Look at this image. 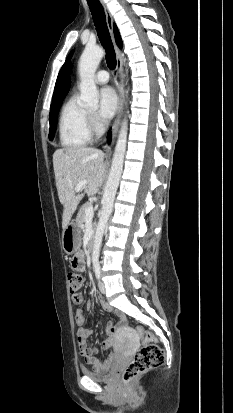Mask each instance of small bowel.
Here are the masks:
<instances>
[{"mask_svg": "<svg viewBox=\"0 0 233 413\" xmlns=\"http://www.w3.org/2000/svg\"><path fill=\"white\" fill-rule=\"evenodd\" d=\"M82 250L78 249L77 253H73L69 257V262L71 263L72 269L76 273H83L85 271V263L83 262V257L81 256ZM94 299L100 304L101 308L106 312H114L113 308L105 301V299L97 293H93ZM72 301L76 306H80L83 303V295L81 292H77L72 294ZM92 307V303H88V309ZM117 315L122 319V315L117 313ZM75 321L77 324V339L78 345L80 348V353L84 357L87 364L92 365L94 369L97 371H104L106 370L109 365L115 359V354L110 353L106 359L101 362L96 357L95 354L98 352L97 347H89L87 345V339L93 335V331L90 328L86 327V317L82 309L78 308L75 312ZM119 324L110 323L107 328L106 332L112 337H109L102 343V347L104 349H110L115 344V339L113 335L117 332Z\"/></svg>", "mask_w": 233, "mask_h": 413, "instance_id": "c3829d8e", "label": "small bowel"}]
</instances>
